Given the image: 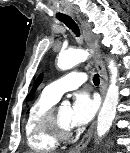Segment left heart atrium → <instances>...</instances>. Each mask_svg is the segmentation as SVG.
<instances>
[{"label":"left heart atrium","instance_id":"1","mask_svg":"<svg viewBox=\"0 0 130 153\" xmlns=\"http://www.w3.org/2000/svg\"><path fill=\"white\" fill-rule=\"evenodd\" d=\"M99 107V100L88 92L76 94L70 108V125L79 126L92 120Z\"/></svg>","mask_w":130,"mask_h":153}]
</instances>
